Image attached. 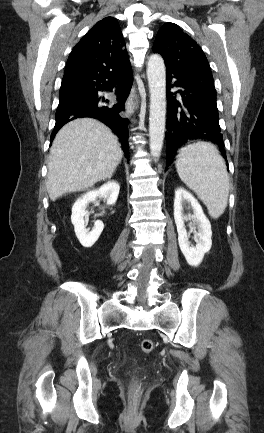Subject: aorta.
Instances as JSON below:
<instances>
[{
    "mask_svg": "<svg viewBox=\"0 0 264 433\" xmlns=\"http://www.w3.org/2000/svg\"><path fill=\"white\" fill-rule=\"evenodd\" d=\"M147 78L150 92L149 146L156 161L161 155L166 122V70L160 55L150 56L147 63Z\"/></svg>",
    "mask_w": 264,
    "mask_h": 433,
    "instance_id": "762f6f07",
    "label": "aorta"
}]
</instances>
